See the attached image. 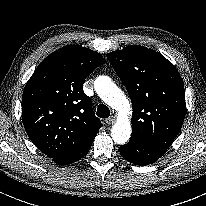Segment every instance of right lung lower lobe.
<instances>
[{
    "label": "right lung lower lobe",
    "instance_id": "right-lung-lower-lobe-1",
    "mask_svg": "<svg viewBox=\"0 0 206 206\" xmlns=\"http://www.w3.org/2000/svg\"><path fill=\"white\" fill-rule=\"evenodd\" d=\"M93 143V140L82 146L81 148L77 149L74 152L65 154L63 156H60L58 158H54L53 161L56 163L66 165V164H71L73 162H76L80 160L84 155L89 151L91 145Z\"/></svg>",
    "mask_w": 206,
    "mask_h": 206
}]
</instances>
